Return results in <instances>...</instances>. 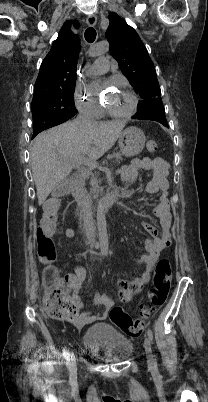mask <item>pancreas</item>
<instances>
[{"instance_id": "1", "label": "pancreas", "mask_w": 208, "mask_h": 402, "mask_svg": "<svg viewBox=\"0 0 208 402\" xmlns=\"http://www.w3.org/2000/svg\"><path fill=\"white\" fill-rule=\"evenodd\" d=\"M109 160L110 158H116V162L117 164H120V160H122V154H119V152H117V154H111V156H108ZM87 178H89V176H91V194H93V196H98V194H103L104 192V188H100V184L98 182V174H93V172H85Z\"/></svg>"}]
</instances>
